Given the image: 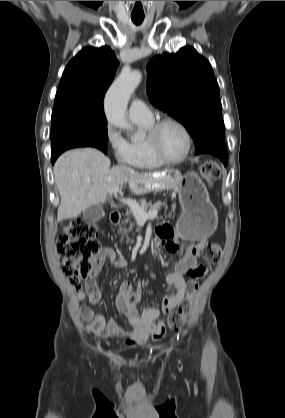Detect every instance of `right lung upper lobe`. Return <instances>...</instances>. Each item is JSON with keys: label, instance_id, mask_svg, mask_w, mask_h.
Masks as SVG:
<instances>
[{"label": "right lung upper lobe", "instance_id": "right-lung-upper-lobe-1", "mask_svg": "<svg viewBox=\"0 0 285 418\" xmlns=\"http://www.w3.org/2000/svg\"><path fill=\"white\" fill-rule=\"evenodd\" d=\"M119 65L107 46L82 49L66 66L54 106L84 105L103 109V98Z\"/></svg>", "mask_w": 285, "mask_h": 418}]
</instances>
